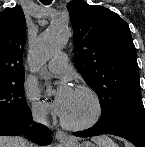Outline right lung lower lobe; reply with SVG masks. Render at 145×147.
Masks as SVG:
<instances>
[{
    "label": "right lung lower lobe",
    "instance_id": "obj_1",
    "mask_svg": "<svg viewBox=\"0 0 145 147\" xmlns=\"http://www.w3.org/2000/svg\"><path fill=\"white\" fill-rule=\"evenodd\" d=\"M32 121L31 111L27 112L24 116L0 121V136H18L26 132L27 138L38 145H49L51 140L50 130L44 125L30 126Z\"/></svg>",
    "mask_w": 145,
    "mask_h": 147
}]
</instances>
